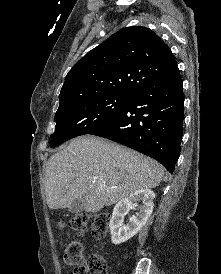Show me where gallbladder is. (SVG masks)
I'll return each mask as SVG.
<instances>
[{
    "mask_svg": "<svg viewBox=\"0 0 221 274\" xmlns=\"http://www.w3.org/2000/svg\"><path fill=\"white\" fill-rule=\"evenodd\" d=\"M86 207V200L84 197L78 198L69 206L71 213L77 214L82 212Z\"/></svg>",
    "mask_w": 221,
    "mask_h": 274,
    "instance_id": "1",
    "label": "gallbladder"
}]
</instances>
